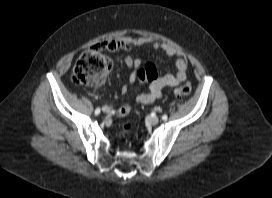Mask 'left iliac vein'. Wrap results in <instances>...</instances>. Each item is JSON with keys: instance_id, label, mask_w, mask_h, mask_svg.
I'll return each instance as SVG.
<instances>
[{"instance_id": "left-iliac-vein-1", "label": "left iliac vein", "mask_w": 272, "mask_h": 198, "mask_svg": "<svg viewBox=\"0 0 272 198\" xmlns=\"http://www.w3.org/2000/svg\"><path fill=\"white\" fill-rule=\"evenodd\" d=\"M148 120L152 125H156L159 122V118L156 116H150Z\"/></svg>"}]
</instances>
